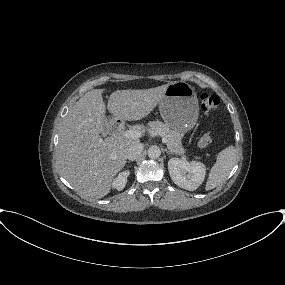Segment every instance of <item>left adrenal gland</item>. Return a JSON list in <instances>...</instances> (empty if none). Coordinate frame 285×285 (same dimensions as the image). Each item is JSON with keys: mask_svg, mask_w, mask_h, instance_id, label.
I'll use <instances>...</instances> for the list:
<instances>
[{"mask_svg": "<svg viewBox=\"0 0 285 285\" xmlns=\"http://www.w3.org/2000/svg\"><path fill=\"white\" fill-rule=\"evenodd\" d=\"M165 151H166V153L169 154V155L172 154V152L169 151V150H167V149H165Z\"/></svg>", "mask_w": 285, "mask_h": 285, "instance_id": "left-adrenal-gland-1", "label": "left adrenal gland"}]
</instances>
